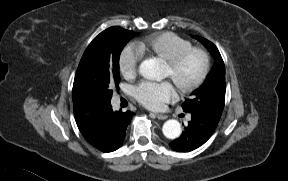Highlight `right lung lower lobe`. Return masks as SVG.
I'll return each mask as SVG.
<instances>
[{
	"label": "right lung lower lobe",
	"instance_id": "right-lung-lower-lobe-1",
	"mask_svg": "<svg viewBox=\"0 0 288 181\" xmlns=\"http://www.w3.org/2000/svg\"><path fill=\"white\" fill-rule=\"evenodd\" d=\"M133 115L134 113L130 111L113 112L112 106L109 103L108 110L103 118L101 139L97 144H93V146L103 152L117 150L124 141L126 128Z\"/></svg>",
	"mask_w": 288,
	"mask_h": 181
}]
</instances>
